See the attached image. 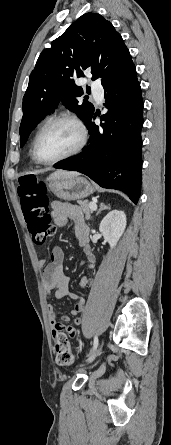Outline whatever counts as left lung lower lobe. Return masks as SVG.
I'll list each match as a JSON object with an SVG mask.
<instances>
[{
  "instance_id": "1",
  "label": "left lung lower lobe",
  "mask_w": 171,
  "mask_h": 445,
  "mask_svg": "<svg viewBox=\"0 0 171 445\" xmlns=\"http://www.w3.org/2000/svg\"><path fill=\"white\" fill-rule=\"evenodd\" d=\"M108 112L98 127L96 114L86 122L90 141L78 155L55 168L81 172L103 188L126 193L136 204L141 190V128L143 100L133 63L111 76L103 85Z\"/></svg>"
}]
</instances>
